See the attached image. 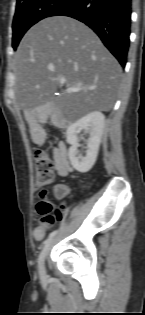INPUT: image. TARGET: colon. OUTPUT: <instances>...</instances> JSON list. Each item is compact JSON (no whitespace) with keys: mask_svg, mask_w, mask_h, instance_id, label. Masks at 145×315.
Instances as JSON below:
<instances>
[{"mask_svg":"<svg viewBox=\"0 0 145 315\" xmlns=\"http://www.w3.org/2000/svg\"><path fill=\"white\" fill-rule=\"evenodd\" d=\"M36 177L39 185L48 184L53 178V163L48 154L43 150H37L34 154ZM54 210L53 203L46 196V192H41L38 211L46 214ZM60 217L59 211H55L53 215L42 219V223L52 224Z\"/></svg>","mask_w":145,"mask_h":315,"instance_id":"1","label":"colon"}]
</instances>
